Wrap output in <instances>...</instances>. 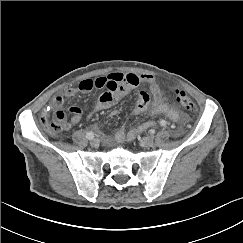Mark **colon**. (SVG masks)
Listing matches in <instances>:
<instances>
[{"mask_svg":"<svg viewBox=\"0 0 243 243\" xmlns=\"http://www.w3.org/2000/svg\"><path fill=\"white\" fill-rule=\"evenodd\" d=\"M174 96L181 108L187 111L195 110L194 102L182 89H174ZM41 123L52 134H60L67 129L65 114L62 111H56L54 115L43 114Z\"/></svg>","mask_w":243,"mask_h":243,"instance_id":"colon-1","label":"colon"}]
</instances>
